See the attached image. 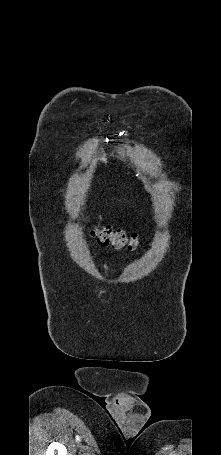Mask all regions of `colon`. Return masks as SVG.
Segmentation results:
<instances>
[{
    "instance_id": "obj_1",
    "label": "colon",
    "mask_w": 221,
    "mask_h": 455,
    "mask_svg": "<svg viewBox=\"0 0 221 455\" xmlns=\"http://www.w3.org/2000/svg\"><path fill=\"white\" fill-rule=\"evenodd\" d=\"M92 234L102 246H110L115 249L127 248L135 250L138 246L137 236L133 233L128 235L121 229H114L107 225H97L92 229Z\"/></svg>"
}]
</instances>
